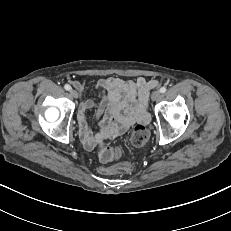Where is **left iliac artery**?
Segmentation results:
<instances>
[{"mask_svg": "<svg viewBox=\"0 0 231 231\" xmlns=\"http://www.w3.org/2000/svg\"><path fill=\"white\" fill-rule=\"evenodd\" d=\"M160 92H161V93H165V92H166V87H161V88H160Z\"/></svg>", "mask_w": 231, "mask_h": 231, "instance_id": "44dca946", "label": "left iliac artery"}]
</instances>
